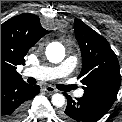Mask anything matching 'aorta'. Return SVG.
Listing matches in <instances>:
<instances>
[{
	"instance_id": "obj_1",
	"label": "aorta",
	"mask_w": 122,
	"mask_h": 122,
	"mask_svg": "<svg viewBox=\"0 0 122 122\" xmlns=\"http://www.w3.org/2000/svg\"><path fill=\"white\" fill-rule=\"evenodd\" d=\"M46 57L52 63L61 62L65 57L63 45L56 42L50 43L46 48ZM51 102L55 107H62L65 104V97L60 93H56L52 96Z\"/></svg>"
}]
</instances>
